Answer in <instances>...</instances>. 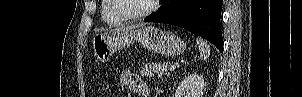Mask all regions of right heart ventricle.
Returning <instances> with one entry per match:
<instances>
[{
  "label": "right heart ventricle",
  "instance_id": "1",
  "mask_svg": "<svg viewBox=\"0 0 302 97\" xmlns=\"http://www.w3.org/2000/svg\"><path fill=\"white\" fill-rule=\"evenodd\" d=\"M101 19L110 27H118L125 23V20L113 12L110 0H102Z\"/></svg>",
  "mask_w": 302,
  "mask_h": 97
}]
</instances>
